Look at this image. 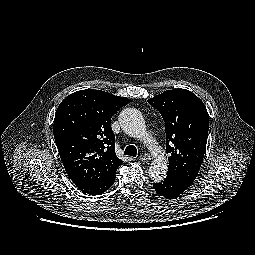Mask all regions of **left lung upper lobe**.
Wrapping results in <instances>:
<instances>
[{
  "label": "left lung upper lobe",
  "mask_w": 255,
  "mask_h": 255,
  "mask_svg": "<svg viewBox=\"0 0 255 255\" xmlns=\"http://www.w3.org/2000/svg\"><path fill=\"white\" fill-rule=\"evenodd\" d=\"M165 122L167 176L192 184L200 170L209 128L204 103L186 89H173L148 100Z\"/></svg>",
  "instance_id": "5c2ea615"
}]
</instances>
